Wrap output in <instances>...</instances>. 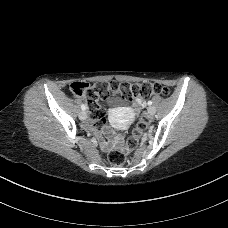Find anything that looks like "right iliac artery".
I'll use <instances>...</instances> for the list:
<instances>
[{"mask_svg":"<svg viewBox=\"0 0 228 228\" xmlns=\"http://www.w3.org/2000/svg\"><path fill=\"white\" fill-rule=\"evenodd\" d=\"M81 109L84 111L86 109V106L84 104H82Z\"/></svg>","mask_w":228,"mask_h":228,"instance_id":"1","label":"right iliac artery"}]
</instances>
